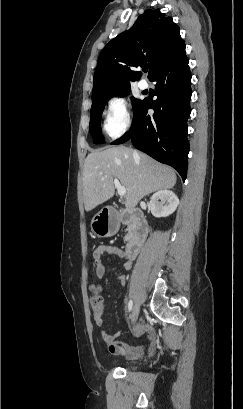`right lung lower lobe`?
Returning <instances> with one entry per match:
<instances>
[{
    "mask_svg": "<svg viewBox=\"0 0 243 409\" xmlns=\"http://www.w3.org/2000/svg\"><path fill=\"white\" fill-rule=\"evenodd\" d=\"M150 81L156 82L157 99L142 100L134 111L130 131L111 144L131 139L137 149L172 166L185 181L189 152L187 119L191 112V74L185 45ZM149 108L154 110L151 116L147 114Z\"/></svg>",
    "mask_w": 243,
    "mask_h": 409,
    "instance_id": "obj_1",
    "label": "right lung lower lobe"
}]
</instances>
